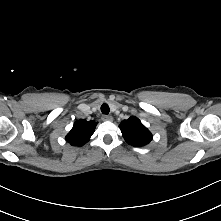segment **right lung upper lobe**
Returning <instances> with one entry per match:
<instances>
[{
  "label": "right lung upper lobe",
  "instance_id": "right-lung-upper-lobe-1",
  "mask_svg": "<svg viewBox=\"0 0 221 221\" xmlns=\"http://www.w3.org/2000/svg\"><path fill=\"white\" fill-rule=\"evenodd\" d=\"M95 121L78 120L66 136V141L72 146H82L89 141L96 127Z\"/></svg>",
  "mask_w": 221,
  "mask_h": 221
}]
</instances>
